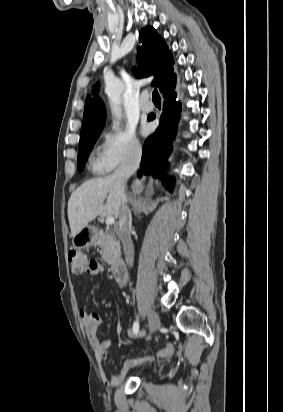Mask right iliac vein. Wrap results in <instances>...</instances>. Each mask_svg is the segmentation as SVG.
I'll list each match as a JSON object with an SVG mask.
<instances>
[{
    "label": "right iliac vein",
    "mask_w": 283,
    "mask_h": 412,
    "mask_svg": "<svg viewBox=\"0 0 283 412\" xmlns=\"http://www.w3.org/2000/svg\"><path fill=\"white\" fill-rule=\"evenodd\" d=\"M148 319H149V334L148 339L151 338V335L159 328L160 321L159 317L156 312L149 310L148 312Z\"/></svg>",
    "instance_id": "obj_1"
}]
</instances>
